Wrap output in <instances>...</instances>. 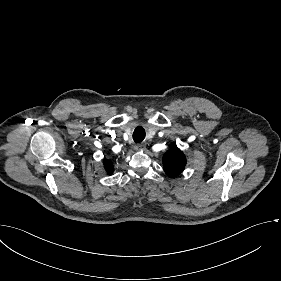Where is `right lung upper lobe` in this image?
<instances>
[{"label":"right lung upper lobe","mask_w":281,"mask_h":281,"mask_svg":"<svg viewBox=\"0 0 281 281\" xmlns=\"http://www.w3.org/2000/svg\"><path fill=\"white\" fill-rule=\"evenodd\" d=\"M104 167L108 174L111 175L113 173L114 168H113V164L110 160H104Z\"/></svg>","instance_id":"1"}]
</instances>
